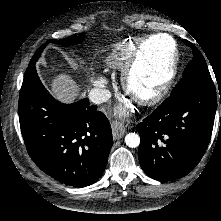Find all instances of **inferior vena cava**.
<instances>
[{
    "instance_id": "602c4592",
    "label": "inferior vena cava",
    "mask_w": 221,
    "mask_h": 221,
    "mask_svg": "<svg viewBox=\"0 0 221 221\" xmlns=\"http://www.w3.org/2000/svg\"><path fill=\"white\" fill-rule=\"evenodd\" d=\"M110 97H111L110 91L105 88H94L88 94L89 100L95 104L104 103Z\"/></svg>"
}]
</instances>
